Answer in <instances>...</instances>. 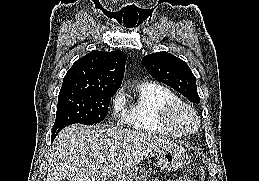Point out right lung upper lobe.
I'll return each mask as SVG.
<instances>
[{
    "label": "right lung upper lobe",
    "instance_id": "1",
    "mask_svg": "<svg viewBox=\"0 0 259 181\" xmlns=\"http://www.w3.org/2000/svg\"><path fill=\"white\" fill-rule=\"evenodd\" d=\"M126 55L92 51L80 58L66 73L61 90H88L116 93L125 71Z\"/></svg>",
    "mask_w": 259,
    "mask_h": 181
}]
</instances>
